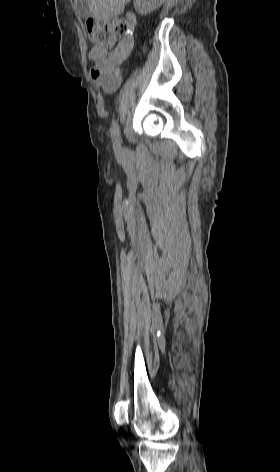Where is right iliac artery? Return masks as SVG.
<instances>
[{"label":"right iliac artery","instance_id":"1","mask_svg":"<svg viewBox=\"0 0 280 472\" xmlns=\"http://www.w3.org/2000/svg\"><path fill=\"white\" fill-rule=\"evenodd\" d=\"M111 137H112V140H113L115 146L117 147V149L120 150L122 140H121V137H120V131H119V126H118L117 122H114V124H113L112 131H111Z\"/></svg>","mask_w":280,"mask_h":472}]
</instances>
